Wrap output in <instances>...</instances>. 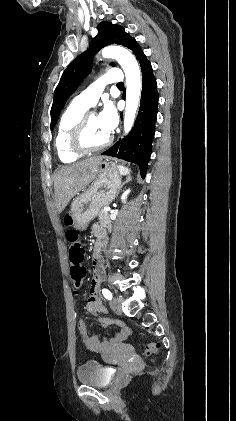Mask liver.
Segmentation results:
<instances>
[{
	"label": "liver",
	"mask_w": 236,
	"mask_h": 421,
	"mask_svg": "<svg viewBox=\"0 0 236 421\" xmlns=\"http://www.w3.org/2000/svg\"><path fill=\"white\" fill-rule=\"evenodd\" d=\"M105 156H90L71 166H61L54 172V194L57 211L62 213L69 200L89 184L97 172L98 164Z\"/></svg>",
	"instance_id": "1"
}]
</instances>
